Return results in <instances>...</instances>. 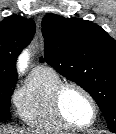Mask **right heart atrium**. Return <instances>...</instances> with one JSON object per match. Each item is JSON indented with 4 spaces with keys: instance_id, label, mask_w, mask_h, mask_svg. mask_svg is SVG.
Here are the masks:
<instances>
[{
    "instance_id": "d8ad5b80",
    "label": "right heart atrium",
    "mask_w": 116,
    "mask_h": 134,
    "mask_svg": "<svg viewBox=\"0 0 116 134\" xmlns=\"http://www.w3.org/2000/svg\"><path fill=\"white\" fill-rule=\"evenodd\" d=\"M21 91H22V90L17 91V92L15 93V95H14V100H15V102H16V99L18 98V96H19V94H20Z\"/></svg>"
}]
</instances>
